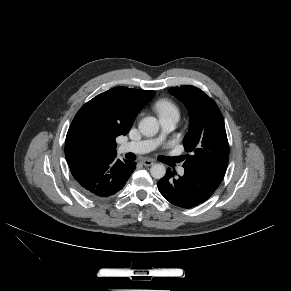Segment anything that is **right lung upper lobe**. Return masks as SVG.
Segmentation results:
<instances>
[{
	"label": "right lung upper lobe",
	"mask_w": 291,
	"mask_h": 291,
	"mask_svg": "<svg viewBox=\"0 0 291 291\" xmlns=\"http://www.w3.org/2000/svg\"><path fill=\"white\" fill-rule=\"evenodd\" d=\"M154 93L115 87L84 104L67 132L68 165L96 155L116 154L115 138L129 132L137 114Z\"/></svg>",
	"instance_id": "right-lung-upper-lobe-1"
}]
</instances>
